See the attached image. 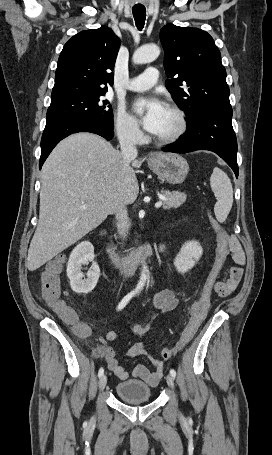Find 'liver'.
Returning <instances> with one entry per match:
<instances>
[{"label":"liver","mask_w":272,"mask_h":455,"mask_svg":"<svg viewBox=\"0 0 272 455\" xmlns=\"http://www.w3.org/2000/svg\"><path fill=\"white\" fill-rule=\"evenodd\" d=\"M133 159L124 169L122 154L91 133L61 141L42 167L39 222L28 250L27 267L35 271L98 227L139 193ZM87 209H80L82 204Z\"/></svg>","instance_id":"obj_1"}]
</instances>
